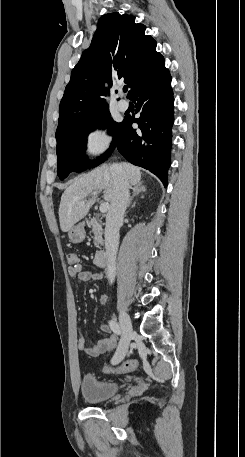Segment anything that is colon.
I'll return each mask as SVG.
<instances>
[{
	"instance_id": "obj_1",
	"label": "colon",
	"mask_w": 245,
	"mask_h": 457,
	"mask_svg": "<svg viewBox=\"0 0 245 457\" xmlns=\"http://www.w3.org/2000/svg\"><path fill=\"white\" fill-rule=\"evenodd\" d=\"M67 261L72 268H77L79 266L77 256L74 253H70L67 255ZM136 368H137V361L134 359H126L114 367H112L108 364L105 365L106 372L125 373V372L133 371Z\"/></svg>"
}]
</instances>
